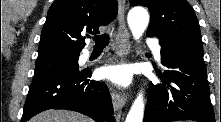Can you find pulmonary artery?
Instances as JSON below:
<instances>
[{
  "label": "pulmonary artery",
  "instance_id": "1",
  "mask_svg": "<svg viewBox=\"0 0 221 122\" xmlns=\"http://www.w3.org/2000/svg\"><path fill=\"white\" fill-rule=\"evenodd\" d=\"M148 45L151 47V49L153 50V53H154V56H155V59L158 61V62H161V47L160 45L158 44V42L155 40V39H150L148 41ZM90 55V52L89 51H85L83 54H82V58L83 59H86L88 58Z\"/></svg>",
  "mask_w": 221,
  "mask_h": 122
}]
</instances>
